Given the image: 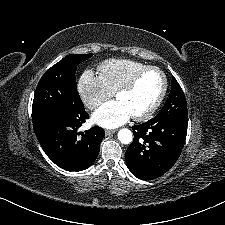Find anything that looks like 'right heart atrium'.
I'll use <instances>...</instances> for the list:
<instances>
[{
	"label": "right heart atrium",
	"instance_id": "1",
	"mask_svg": "<svg viewBox=\"0 0 225 225\" xmlns=\"http://www.w3.org/2000/svg\"><path fill=\"white\" fill-rule=\"evenodd\" d=\"M78 91L84 104L91 110L96 109L112 96L100 76L89 70L84 71L80 76Z\"/></svg>",
	"mask_w": 225,
	"mask_h": 225
}]
</instances>
